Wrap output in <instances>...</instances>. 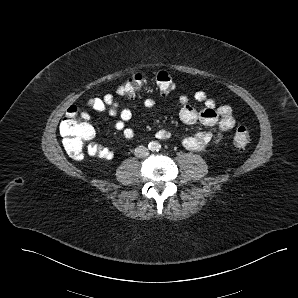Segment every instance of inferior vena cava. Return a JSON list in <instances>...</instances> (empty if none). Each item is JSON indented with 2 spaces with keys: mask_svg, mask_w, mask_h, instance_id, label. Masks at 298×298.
Returning a JSON list of instances; mask_svg holds the SVG:
<instances>
[{
  "mask_svg": "<svg viewBox=\"0 0 298 298\" xmlns=\"http://www.w3.org/2000/svg\"><path fill=\"white\" fill-rule=\"evenodd\" d=\"M134 155L138 158H143L149 155V150L145 146H138L135 148Z\"/></svg>",
  "mask_w": 298,
  "mask_h": 298,
  "instance_id": "1",
  "label": "inferior vena cava"
}]
</instances>
